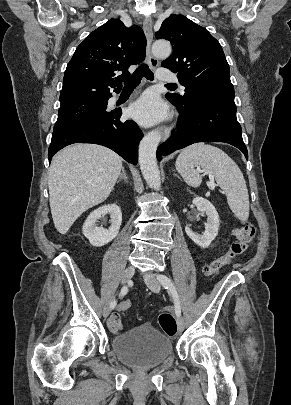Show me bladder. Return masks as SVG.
Listing matches in <instances>:
<instances>
[{"mask_svg":"<svg viewBox=\"0 0 291 405\" xmlns=\"http://www.w3.org/2000/svg\"><path fill=\"white\" fill-rule=\"evenodd\" d=\"M111 347L124 364L137 369L156 367L173 351L171 339L150 325H140L114 336Z\"/></svg>","mask_w":291,"mask_h":405,"instance_id":"obj_1","label":"bladder"}]
</instances>
